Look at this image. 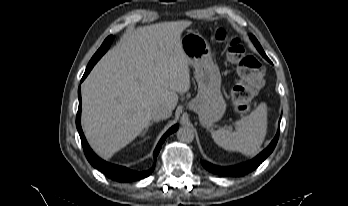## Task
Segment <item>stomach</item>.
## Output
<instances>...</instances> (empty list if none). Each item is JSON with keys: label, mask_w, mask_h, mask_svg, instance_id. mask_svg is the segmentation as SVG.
Instances as JSON below:
<instances>
[{"label": "stomach", "mask_w": 348, "mask_h": 206, "mask_svg": "<svg viewBox=\"0 0 348 206\" xmlns=\"http://www.w3.org/2000/svg\"><path fill=\"white\" fill-rule=\"evenodd\" d=\"M180 43L189 65L195 69L198 84V94L190 103V108L199 115L203 125L211 126L225 111L219 69L212 60L208 42L200 35L187 33Z\"/></svg>", "instance_id": "0dacf381"}]
</instances>
